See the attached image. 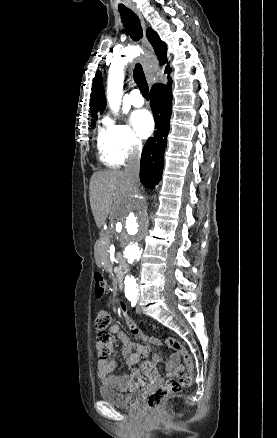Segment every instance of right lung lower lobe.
Listing matches in <instances>:
<instances>
[{
    "label": "right lung lower lobe",
    "instance_id": "1",
    "mask_svg": "<svg viewBox=\"0 0 277 438\" xmlns=\"http://www.w3.org/2000/svg\"><path fill=\"white\" fill-rule=\"evenodd\" d=\"M150 96L157 131L154 138H150L144 146L140 164V180L146 188L154 189L162 176L164 151L167 146L173 98L171 80L166 86L161 83L153 85Z\"/></svg>",
    "mask_w": 277,
    "mask_h": 438
}]
</instances>
